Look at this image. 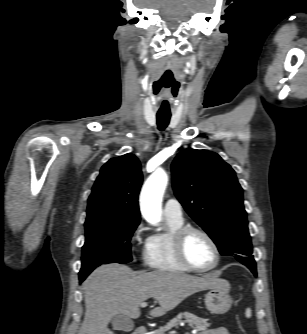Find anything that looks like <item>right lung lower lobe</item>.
<instances>
[{"instance_id":"obj_1","label":"right lung lower lobe","mask_w":307,"mask_h":334,"mask_svg":"<svg viewBox=\"0 0 307 334\" xmlns=\"http://www.w3.org/2000/svg\"><path fill=\"white\" fill-rule=\"evenodd\" d=\"M84 279L83 278H80V282H82Z\"/></svg>"}]
</instances>
